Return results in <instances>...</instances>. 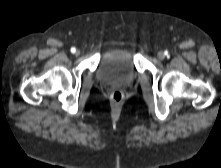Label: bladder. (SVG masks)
<instances>
[{
  "label": "bladder",
  "mask_w": 221,
  "mask_h": 168,
  "mask_svg": "<svg viewBox=\"0 0 221 168\" xmlns=\"http://www.w3.org/2000/svg\"><path fill=\"white\" fill-rule=\"evenodd\" d=\"M136 76L134 56L127 48H114L106 52L97 69V77L104 83H127Z\"/></svg>",
  "instance_id": "31cf9c89"
}]
</instances>
